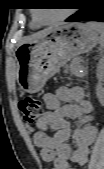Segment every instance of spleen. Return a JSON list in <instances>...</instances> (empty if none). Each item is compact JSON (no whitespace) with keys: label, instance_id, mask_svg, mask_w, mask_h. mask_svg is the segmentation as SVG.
Masks as SVG:
<instances>
[{"label":"spleen","instance_id":"spleen-1","mask_svg":"<svg viewBox=\"0 0 104 169\" xmlns=\"http://www.w3.org/2000/svg\"><path fill=\"white\" fill-rule=\"evenodd\" d=\"M89 25L95 29H97L101 36H102V40L100 41V43H103V25L102 24H98V23H89Z\"/></svg>","mask_w":104,"mask_h":169}]
</instances>
